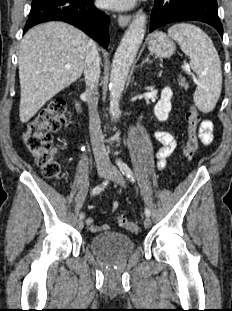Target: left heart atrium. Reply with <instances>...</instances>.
<instances>
[{
	"label": "left heart atrium",
	"mask_w": 232,
	"mask_h": 311,
	"mask_svg": "<svg viewBox=\"0 0 232 311\" xmlns=\"http://www.w3.org/2000/svg\"><path fill=\"white\" fill-rule=\"evenodd\" d=\"M101 5L105 8L113 10H125L132 8L136 0H99Z\"/></svg>",
	"instance_id": "obj_1"
}]
</instances>
